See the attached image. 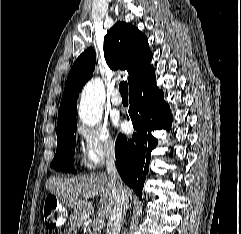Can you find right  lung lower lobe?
<instances>
[{
    "label": "right lung lower lobe",
    "instance_id": "98d812e1",
    "mask_svg": "<svg viewBox=\"0 0 241 234\" xmlns=\"http://www.w3.org/2000/svg\"><path fill=\"white\" fill-rule=\"evenodd\" d=\"M154 70L129 89L128 119L136 131L132 138L119 134L115 144L116 166L122 180L142 198L151 151L157 145L152 130H170L172 115L164 93L155 84Z\"/></svg>",
    "mask_w": 241,
    "mask_h": 234
}]
</instances>
